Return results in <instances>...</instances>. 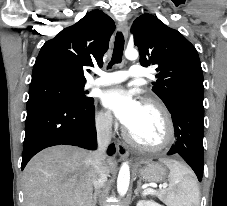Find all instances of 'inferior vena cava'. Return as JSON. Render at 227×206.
<instances>
[{
	"label": "inferior vena cava",
	"mask_w": 227,
	"mask_h": 206,
	"mask_svg": "<svg viewBox=\"0 0 227 206\" xmlns=\"http://www.w3.org/2000/svg\"><path fill=\"white\" fill-rule=\"evenodd\" d=\"M112 115H105L97 124L98 150L93 153L91 166L93 168V184L96 190L100 189L107 180L106 154L105 151L111 142Z\"/></svg>",
	"instance_id": "602c4592"
}]
</instances>
